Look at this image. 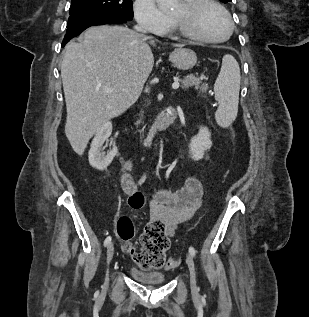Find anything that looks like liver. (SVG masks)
Returning <instances> with one entry per match:
<instances>
[{"mask_svg": "<svg viewBox=\"0 0 309 317\" xmlns=\"http://www.w3.org/2000/svg\"><path fill=\"white\" fill-rule=\"evenodd\" d=\"M150 45H155L152 37L127 27L101 25L90 27L65 47L61 65L65 134L78 155L105 122L138 99L154 64ZM107 88L113 90L106 92Z\"/></svg>", "mask_w": 309, "mask_h": 317, "instance_id": "1", "label": "liver"}]
</instances>
